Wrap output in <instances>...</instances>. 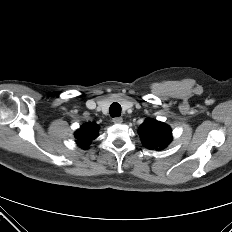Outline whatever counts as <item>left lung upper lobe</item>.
Returning <instances> with one entry per match:
<instances>
[{"label":"left lung upper lobe","mask_w":232,"mask_h":232,"mask_svg":"<svg viewBox=\"0 0 232 232\" xmlns=\"http://www.w3.org/2000/svg\"><path fill=\"white\" fill-rule=\"evenodd\" d=\"M138 133L148 149H163L172 140L169 126L157 120H145L138 128Z\"/></svg>","instance_id":"5c2ea615"}]
</instances>
